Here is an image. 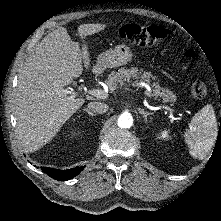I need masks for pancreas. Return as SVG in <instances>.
I'll use <instances>...</instances> for the list:
<instances>
[{
  "instance_id": "1",
  "label": "pancreas",
  "mask_w": 221,
  "mask_h": 221,
  "mask_svg": "<svg viewBox=\"0 0 221 221\" xmlns=\"http://www.w3.org/2000/svg\"><path fill=\"white\" fill-rule=\"evenodd\" d=\"M152 75L149 72L142 73L137 68L124 69L121 68L117 72H112L108 76L106 84L111 91L116 90L119 86H122L124 82L132 83L135 87H141L140 82L150 84ZM153 90L151 96L155 99L162 98L164 102H174L177 97L169 89H165L157 83L152 84Z\"/></svg>"
}]
</instances>
